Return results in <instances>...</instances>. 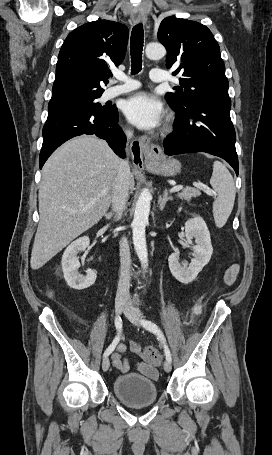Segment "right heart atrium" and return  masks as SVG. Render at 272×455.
<instances>
[{
  "instance_id": "right-heart-atrium-1",
  "label": "right heart atrium",
  "mask_w": 272,
  "mask_h": 455,
  "mask_svg": "<svg viewBox=\"0 0 272 455\" xmlns=\"http://www.w3.org/2000/svg\"><path fill=\"white\" fill-rule=\"evenodd\" d=\"M127 133H128V134H130V131H129V130H127Z\"/></svg>"
}]
</instances>
